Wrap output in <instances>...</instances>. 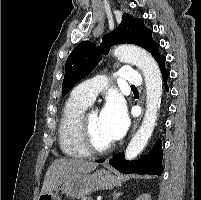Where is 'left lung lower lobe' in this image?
Segmentation results:
<instances>
[{"instance_id": "0a47b994", "label": "left lung lower lobe", "mask_w": 201, "mask_h": 200, "mask_svg": "<svg viewBox=\"0 0 201 200\" xmlns=\"http://www.w3.org/2000/svg\"><path fill=\"white\" fill-rule=\"evenodd\" d=\"M159 64L166 90L168 91L167 79L169 72L165 68L166 58L159 55L155 58ZM161 140L158 139L152 150L144 157L136 161H127L124 158V154H117L110 159L109 164L124 174L136 173V174H149L160 176L163 172L162 158L163 153L161 149ZM104 159L98 160L97 162H104Z\"/></svg>"}]
</instances>
